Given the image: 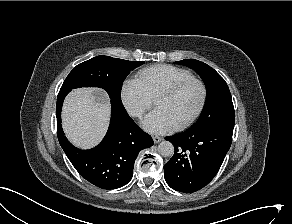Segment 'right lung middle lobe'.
<instances>
[{
	"mask_svg": "<svg viewBox=\"0 0 292 224\" xmlns=\"http://www.w3.org/2000/svg\"><path fill=\"white\" fill-rule=\"evenodd\" d=\"M144 63L96 56L77 65L65 79L60 91L78 87H99L108 93L112 101L122 103L121 88L124 79L131 70Z\"/></svg>",
	"mask_w": 292,
	"mask_h": 224,
	"instance_id": "obj_1",
	"label": "right lung middle lobe"
}]
</instances>
